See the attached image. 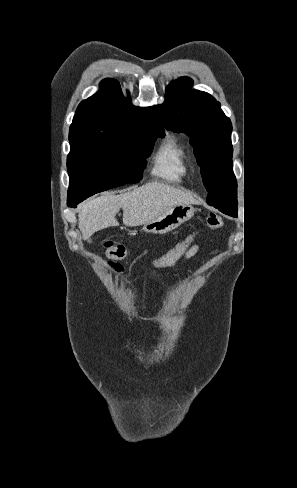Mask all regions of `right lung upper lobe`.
<instances>
[{"label": "right lung upper lobe", "instance_id": "1", "mask_svg": "<svg viewBox=\"0 0 297 488\" xmlns=\"http://www.w3.org/2000/svg\"><path fill=\"white\" fill-rule=\"evenodd\" d=\"M101 91L83 100L69 130L70 144L127 136L141 128H152L163 136L164 129L152 107L140 108L124 99L118 81L104 79Z\"/></svg>", "mask_w": 297, "mask_h": 488}]
</instances>
